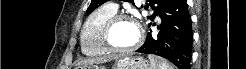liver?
<instances>
[{
	"mask_svg": "<svg viewBox=\"0 0 246 69\" xmlns=\"http://www.w3.org/2000/svg\"><path fill=\"white\" fill-rule=\"evenodd\" d=\"M111 59V57L108 58H96V59H86L84 61H82L80 64L81 65H88V64H93V63H101V62H105L107 60Z\"/></svg>",
	"mask_w": 246,
	"mask_h": 69,
	"instance_id": "liver-1",
	"label": "liver"
}]
</instances>
